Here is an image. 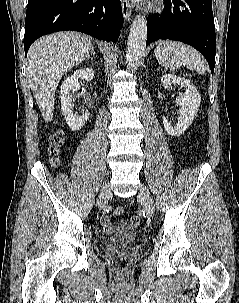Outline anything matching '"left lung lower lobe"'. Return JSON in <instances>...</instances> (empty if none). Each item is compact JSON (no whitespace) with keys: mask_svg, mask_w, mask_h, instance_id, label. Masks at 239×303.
Returning a JSON list of instances; mask_svg holds the SVG:
<instances>
[{"mask_svg":"<svg viewBox=\"0 0 239 303\" xmlns=\"http://www.w3.org/2000/svg\"><path fill=\"white\" fill-rule=\"evenodd\" d=\"M165 10L147 20V43L159 39L184 42L200 51L215 67V25L211 0H165Z\"/></svg>","mask_w":239,"mask_h":303,"instance_id":"0a47b994","label":"left lung lower lobe"}]
</instances>
